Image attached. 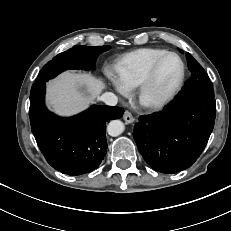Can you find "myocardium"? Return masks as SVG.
<instances>
[{"mask_svg":"<svg viewBox=\"0 0 231 231\" xmlns=\"http://www.w3.org/2000/svg\"><path fill=\"white\" fill-rule=\"evenodd\" d=\"M170 56L177 57L181 63V73H180L178 81L164 95L158 98H155V99L147 98V92L155 78V75L160 65L166 58ZM185 75H186V65H185L183 58L178 53L169 51L163 54L152 64V66L149 68L146 75L142 79V81L137 86V98H138L139 103L147 109H158V108L165 106L177 95V93L182 88L184 80H185Z\"/></svg>","mask_w":231,"mask_h":231,"instance_id":"obj_1","label":"myocardium"}]
</instances>
